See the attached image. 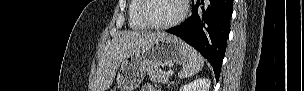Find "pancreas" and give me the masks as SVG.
<instances>
[{
	"mask_svg": "<svg viewBox=\"0 0 304 91\" xmlns=\"http://www.w3.org/2000/svg\"><path fill=\"white\" fill-rule=\"evenodd\" d=\"M147 73L150 80L157 83L166 84L170 78L168 72L156 67L148 68Z\"/></svg>",
	"mask_w": 304,
	"mask_h": 91,
	"instance_id": "cf45deb5",
	"label": "pancreas"
}]
</instances>
